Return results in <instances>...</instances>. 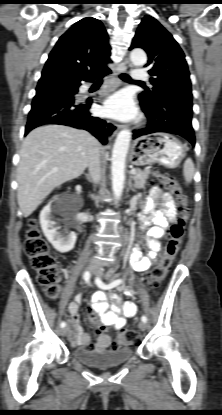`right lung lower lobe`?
Listing matches in <instances>:
<instances>
[{"label":"right lung lower lobe","instance_id":"1","mask_svg":"<svg viewBox=\"0 0 222 415\" xmlns=\"http://www.w3.org/2000/svg\"><path fill=\"white\" fill-rule=\"evenodd\" d=\"M109 73L110 70L96 76L77 78L56 70L42 71L28 115L25 135L40 125L60 124L87 130L102 144H106V122L89 112L91 100L78 103L75 96L81 81L92 82L97 76Z\"/></svg>","mask_w":222,"mask_h":415}]
</instances>
